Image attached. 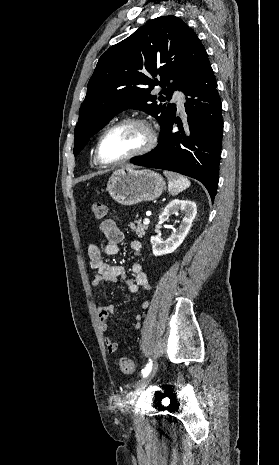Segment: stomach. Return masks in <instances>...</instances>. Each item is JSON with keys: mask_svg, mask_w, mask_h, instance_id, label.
Returning <instances> with one entry per match:
<instances>
[{"mask_svg": "<svg viewBox=\"0 0 279 465\" xmlns=\"http://www.w3.org/2000/svg\"><path fill=\"white\" fill-rule=\"evenodd\" d=\"M165 189L163 177L149 169L123 167L115 170L106 190L119 204L131 206L158 198Z\"/></svg>", "mask_w": 279, "mask_h": 465, "instance_id": "0dacf381", "label": "stomach"}]
</instances>
